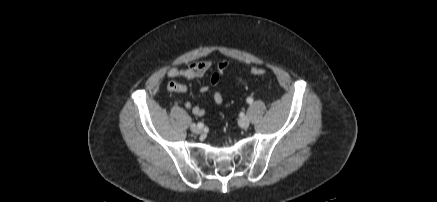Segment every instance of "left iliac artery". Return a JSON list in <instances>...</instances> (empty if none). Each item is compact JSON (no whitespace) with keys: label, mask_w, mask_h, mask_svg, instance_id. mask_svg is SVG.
Instances as JSON below:
<instances>
[{"label":"left iliac artery","mask_w":437,"mask_h":202,"mask_svg":"<svg viewBox=\"0 0 437 202\" xmlns=\"http://www.w3.org/2000/svg\"><path fill=\"white\" fill-rule=\"evenodd\" d=\"M247 102H248L249 104H251V103L253 102V99H252L251 97H248V98H247Z\"/></svg>","instance_id":"44dca946"}]
</instances>
